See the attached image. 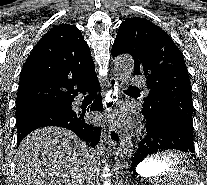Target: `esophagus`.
Masks as SVG:
<instances>
[{"instance_id": "1", "label": "esophagus", "mask_w": 207, "mask_h": 185, "mask_svg": "<svg viewBox=\"0 0 207 185\" xmlns=\"http://www.w3.org/2000/svg\"><path fill=\"white\" fill-rule=\"evenodd\" d=\"M119 98V78L112 75L108 82V90L105 96L106 119L109 123V141L113 147H116L121 140V132L117 128H123L122 114L116 110V104ZM118 119V120H117Z\"/></svg>"}]
</instances>
